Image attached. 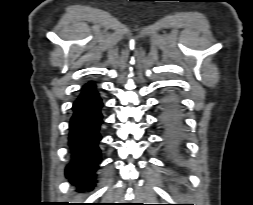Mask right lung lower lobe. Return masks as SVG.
<instances>
[{
	"label": "right lung lower lobe",
	"mask_w": 253,
	"mask_h": 205,
	"mask_svg": "<svg viewBox=\"0 0 253 205\" xmlns=\"http://www.w3.org/2000/svg\"><path fill=\"white\" fill-rule=\"evenodd\" d=\"M94 82H88L73 104V116L70 120L69 146L72 151V163L66 168V176L79 190H91L95 174L100 163L98 147L101 136L102 100Z\"/></svg>",
	"instance_id": "obj_1"
}]
</instances>
